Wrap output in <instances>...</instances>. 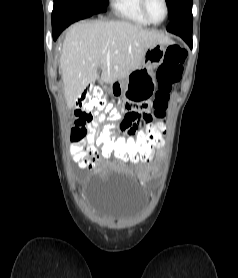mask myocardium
<instances>
[{
	"label": "myocardium",
	"instance_id": "f54148a6",
	"mask_svg": "<svg viewBox=\"0 0 238 278\" xmlns=\"http://www.w3.org/2000/svg\"><path fill=\"white\" fill-rule=\"evenodd\" d=\"M147 2H148V0H140L141 10H142L144 16L147 18V20L152 24H161L162 22H164L167 19L168 14H169V6H168L167 0H162L164 8H165V14H164V17L162 18V20H160V21H155L151 18L149 11H148V7H147Z\"/></svg>",
	"mask_w": 238,
	"mask_h": 278
}]
</instances>
